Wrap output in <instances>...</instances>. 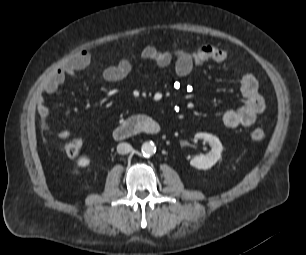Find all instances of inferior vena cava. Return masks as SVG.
I'll return each instance as SVG.
<instances>
[{
  "instance_id": "1",
  "label": "inferior vena cava",
  "mask_w": 306,
  "mask_h": 255,
  "mask_svg": "<svg viewBox=\"0 0 306 255\" xmlns=\"http://www.w3.org/2000/svg\"><path fill=\"white\" fill-rule=\"evenodd\" d=\"M133 150L132 146L128 143H120L117 146V152L119 154H128Z\"/></svg>"
}]
</instances>
